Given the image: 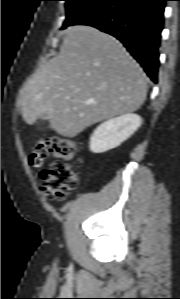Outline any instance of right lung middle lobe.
I'll return each mask as SVG.
<instances>
[{"label": "right lung middle lobe", "instance_id": "right-lung-middle-lobe-1", "mask_svg": "<svg viewBox=\"0 0 180 299\" xmlns=\"http://www.w3.org/2000/svg\"><path fill=\"white\" fill-rule=\"evenodd\" d=\"M66 1V20L62 29L71 25L82 14L90 10L92 7L102 2L103 0H65Z\"/></svg>", "mask_w": 180, "mask_h": 299}]
</instances>
